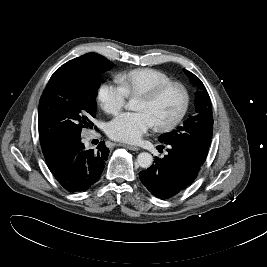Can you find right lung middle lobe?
<instances>
[{"label":"right lung middle lobe","mask_w":267,"mask_h":267,"mask_svg":"<svg viewBox=\"0 0 267 267\" xmlns=\"http://www.w3.org/2000/svg\"><path fill=\"white\" fill-rule=\"evenodd\" d=\"M112 62L96 53L75 58L51 76L39 102L38 127L42 151L80 137L92 128L99 74L110 70Z\"/></svg>","instance_id":"1"}]
</instances>
